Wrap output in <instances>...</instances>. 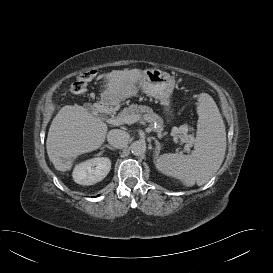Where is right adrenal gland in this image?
I'll list each match as a JSON object with an SVG mask.
<instances>
[{"instance_id":"2a0ac1e0","label":"right adrenal gland","mask_w":273,"mask_h":273,"mask_svg":"<svg viewBox=\"0 0 273 273\" xmlns=\"http://www.w3.org/2000/svg\"><path fill=\"white\" fill-rule=\"evenodd\" d=\"M105 148H109L110 150H115V148L111 147L110 145H104L101 150L105 149Z\"/></svg>"}]
</instances>
